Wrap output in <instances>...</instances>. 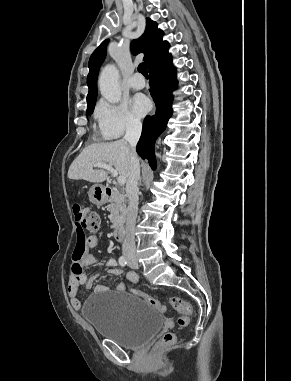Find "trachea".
Here are the masks:
<instances>
[{
    "label": "trachea",
    "instance_id": "obj_1",
    "mask_svg": "<svg viewBox=\"0 0 291 381\" xmlns=\"http://www.w3.org/2000/svg\"><path fill=\"white\" fill-rule=\"evenodd\" d=\"M138 71L146 78H148V71L145 63H140L138 66Z\"/></svg>",
    "mask_w": 291,
    "mask_h": 381
}]
</instances>
